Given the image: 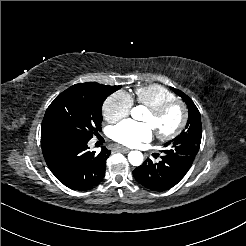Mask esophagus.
<instances>
[{"instance_id": "obj_1", "label": "esophagus", "mask_w": 246, "mask_h": 246, "mask_svg": "<svg viewBox=\"0 0 246 246\" xmlns=\"http://www.w3.org/2000/svg\"><path fill=\"white\" fill-rule=\"evenodd\" d=\"M115 150L122 152V153H128L130 151V149H128L126 147H116Z\"/></svg>"}]
</instances>
